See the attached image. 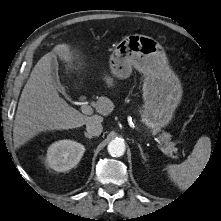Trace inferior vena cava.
<instances>
[{
  "instance_id": "1",
  "label": "inferior vena cava",
  "mask_w": 221,
  "mask_h": 221,
  "mask_svg": "<svg viewBox=\"0 0 221 221\" xmlns=\"http://www.w3.org/2000/svg\"><path fill=\"white\" fill-rule=\"evenodd\" d=\"M86 131L91 136H99L103 131V127L101 125V121L94 120L90 121L86 124Z\"/></svg>"
}]
</instances>
